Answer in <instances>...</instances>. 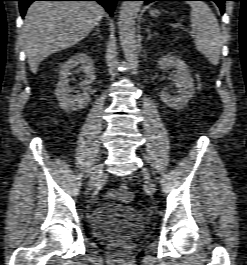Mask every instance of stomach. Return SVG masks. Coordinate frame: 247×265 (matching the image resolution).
Masks as SVG:
<instances>
[{
	"label": "stomach",
	"mask_w": 247,
	"mask_h": 265,
	"mask_svg": "<svg viewBox=\"0 0 247 265\" xmlns=\"http://www.w3.org/2000/svg\"><path fill=\"white\" fill-rule=\"evenodd\" d=\"M150 14H151L152 16H157V15L159 14V12H158L157 10H152V11L150 12Z\"/></svg>",
	"instance_id": "obj_1"
}]
</instances>
